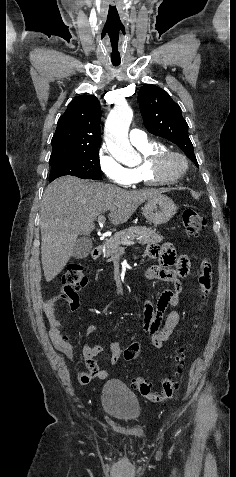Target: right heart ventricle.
Here are the masks:
<instances>
[{"label": "right heart ventricle", "instance_id": "right-heart-ventricle-1", "mask_svg": "<svg viewBox=\"0 0 236 477\" xmlns=\"http://www.w3.org/2000/svg\"><path fill=\"white\" fill-rule=\"evenodd\" d=\"M136 148L142 155V162L131 168H127L129 176H130V186H135L138 184H146V185H153L159 184L154 181L151 177H149L146 171V160L153 155L154 153L165 150V146L156 141H149L136 145Z\"/></svg>", "mask_w": 236, "mask_h": 477}]
</instances>
